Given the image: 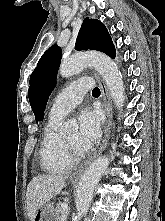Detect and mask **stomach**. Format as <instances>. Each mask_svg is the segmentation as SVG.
I'll return each instance as SVG.
<instances>
[{
    "label": "stomach",
    "instance_id": "stomach-1",
    "mask_svg": "<svg viewBox=\"0 0 165 221\" xmlns=\"http://www.w3.org/2000/svg\"><path fill=\"white\" fill-rule=\"evenodd\" d=\"M34 221H57V217L52 204H45L35 216Z\"/></svg>",
    "mask_w": 165,
    "mask_h": 221
}]
</instances>
